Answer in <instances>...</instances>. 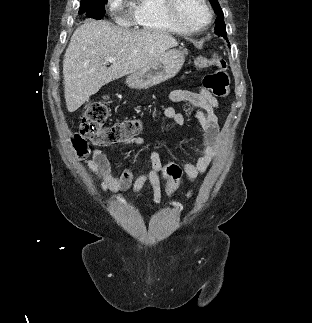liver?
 I'll list each match as a JSON object with an SVG mask.
<instances>
[{
	"instance_id": "6515ba94",
	"label": "liver",
	"mask_w": 312,
	"mask_h": 323,
	"mask_svg": "<svg viewBox=\"0 0 312 323\" xmlns=\"http://www.w3.org/2000/svg\"><path fill=\"white\" fill-rule=\"evenodd\" d=\"M178 46L171 34L123 30L106 20H86L76 28L64 54V96L68 112H76L102 86L142 70L169 48ZM117 62L110 68L106 60Z\"/></svg>"
}]
</instances>
